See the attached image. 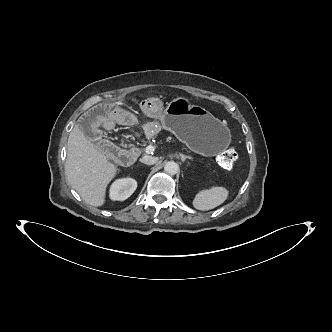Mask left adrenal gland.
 I'll use <instances>...</instances> for the list:
<instances>
[{
	"label": "left adrenal gland",
	"mask_w": 332,
	"mask_h": 332,
	"mask_svg": "<svg viewBox=\"0 0 332 332\" xmlns=\"http://www.w3.org/2000/svg\"><path fill=\"white\" fill-rule=\"evenodd\" d=\"M179 156L181 157L182 162H185L186 159H193L192 157L186 156V155H184L182 153H180Z\"/></svg>",
	"instance_id": "a2214340"
}]
</instances>
